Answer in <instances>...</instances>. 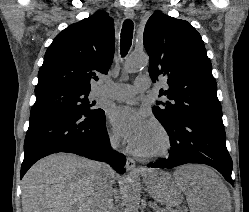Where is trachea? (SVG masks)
I'll use <instances>...</instances> for the list:
<instances>
[{"label": "trachea", "instance_id": "3493384b", "mask_svg": "<svg viewBox=\"0 0 249 212\" xmlns=\"http://www.w3.org/2000/svg\"><path fill=\"white\" fill-rule=\"evenodd\" d=\"M133 36V22L127 19L123 23L121 30V56L125 57L129 51Z\"/></svg>", "mask_w": 249, "mask_h": 212}]
</instances>
